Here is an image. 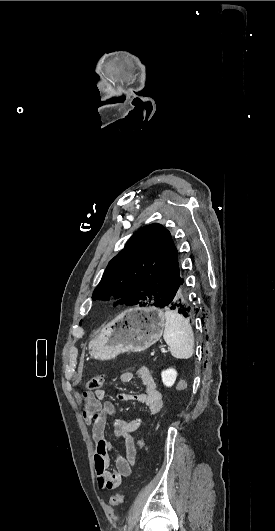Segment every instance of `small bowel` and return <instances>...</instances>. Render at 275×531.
<instances>
[{
	"mask_svg": "<svg viewBox=\"0 0 275 531\" xmlns=\"http://www.w3.org/2000/svg\"><path fill=\"white\" fill-rule=\"evenodd\" d=\"M138 375L145 391L142 393H125L122 395V400L141 403L152 416H156L162 409V394L149 368L141 367L138 370ZM132 379L133 374L130 371H125L120 376V381L125 384L130 383ZM105 397L106 391L104 389L84 393L82 396L84 401L83 418L86 424L92 426V439L95 447L93 462L98 485L102 489L112 490L119 487L123 478L132 473L137 457L133 433L143 423V419L136 418L126 421L115 418L113 420L115 438L124 441L125 453L123 454L120 448L105 436L108 418L116 415L114 403L105 400Z\"/></svg>",
	"mask_w": 275,
	"mask_h": 531,
	"instance_id": "1",
	"label": "small bowel"
}]
</instances>
